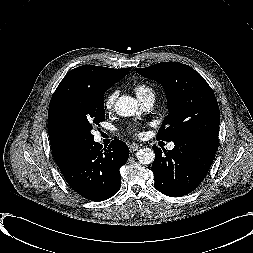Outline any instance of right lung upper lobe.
I'll list each match as a JSON object with an SVG mask.
<instances>
[{"label": "right lung upper lobe", "instance_id": "cb5924a9", "mask_svg": "<svg viewBox=\"0 0 253 253\" xmlns=\"http://www.w3.org/2000/svg\"><path fill=\"white\" fill-rule=\"evenodd\" d=\"M129 70L130 68L113 69L102 66L83 65L71 70L60 82L50 101L48 133L53 157L61 172H64L73 163L85 145L69 140L59 131L55 123L56 108L64 100L68 99L69 94L79 84L113 85L122 79Z\"/></svg>", "mask_w": 253, "mask_h": 253}]
</instances>
